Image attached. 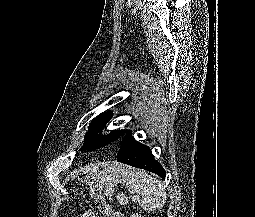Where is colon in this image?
<instances>
[{"instance_id": "5ec220e1", "label": "colon", "mask_w": 255, "mask_h": 217, "mask_svg": "<svg viewBox=\"0 0 255 217\" xmlns=\"http://www.w3.org/2000/svg\"><path fill=\"white\" fill-rule=\"evenodd\" d=\"M89 193L90 196L94 202V204L96 205V207L104 213V211L106 210L107 206H106V201L102 195V192L100 190V188L96 185V184H90L89 186ZM131 217H144L143 215L139 214V213H134L132 214Z\"/></svg>"}]
</instances>
